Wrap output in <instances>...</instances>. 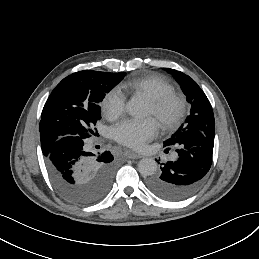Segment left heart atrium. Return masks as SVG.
<instances>
[{"instance_id": "39dd6f15", "label": "left heart atrium", "mask_w": 259, "mask_h": 259, "mask_svg": "<svg viewBox=\"0 0 259 259\" xmlns=\"http://www.w3.org/2000/svg\"><path fill=\"white\" fill-rule=\"evenodd\" d=\"M159 130V123L154 118L126 119L113 126L112 136L123 145L142 149L158 135Z\"/></svg>"}]
</instances>
